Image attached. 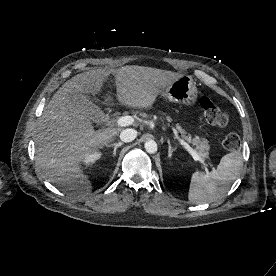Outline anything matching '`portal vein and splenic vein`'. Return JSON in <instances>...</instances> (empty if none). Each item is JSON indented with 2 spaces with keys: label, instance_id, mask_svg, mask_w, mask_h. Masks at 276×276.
Wrapping results in <instances>:
<instances>
[{
  "label": "portal vein and splenic vein",
  "instance_id": "18ae733b",
  "mask_svg": "<svg viewBox=\"0 0 276 276\" xmlns=\"http://www.w3.org/2000/svg\"><path fill=\"white\" fill-rule=\"evenodd\" d=\"M133 122H134V119L131 116H122V117L118 118L117 125L121 126V127H126V126L133 124ZM177 139L179 140L180 144L183 145L188 150V152L192 155L193 159L195 161H199L204 166L205 171L208 172V169L206 168L207 164L205 163L204 159L199 156V154L196 152V150L191 148L189 146V144L186 143L184 140H182L178 137H177Z\"/></svg>",
  "mask_w": 276,
  "mask_h": 276
}]
</instances>
